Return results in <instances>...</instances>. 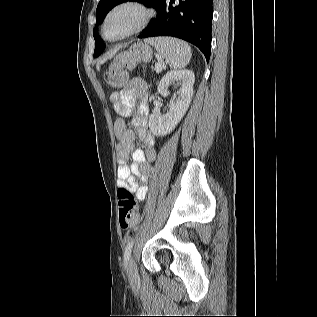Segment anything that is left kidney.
<instances>
[{
    "mask_svg": "<svg viewBox=\"0 0 317 317\" xmlns=\"http://www.w3.org/2000/svg\"><path fill=\"white\" fill-rule=\"evenodd\" d=\"M194 81V73L187 69L170 71L162 78L157 88L161 96L169 95L168 88L172 84L180 89L174 93L170 101V109L166 114L153 113L149 116V128L153 134L165 136L175 129L191 103Z\"/></svg>",
    "mask_w": 317,
    "mask_h": 317,
    "instance_id": "1",
    "label": "left kidney"
}]
</instances>
